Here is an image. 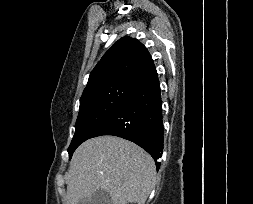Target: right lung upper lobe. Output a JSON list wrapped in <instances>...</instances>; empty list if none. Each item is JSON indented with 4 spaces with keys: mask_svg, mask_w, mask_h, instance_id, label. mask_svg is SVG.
<instances>
[{
    "mask_svg": "<svg viewBox=\"0 0 253 204\" xmlns=\"http://www.w3.org/2000/svg\"><path fill=\"white\" fill-rule=\"evenodd\" d=\"M155 68L146 49L137 39H119L90 73L84 92L118 81L138 82Z\"/></svg>",
    "mask_w": 253,
    "mask_h": 204,
    "instance_id": "cb5924a9",
    "label": "right lung upper lobe"
}]
</instances>
